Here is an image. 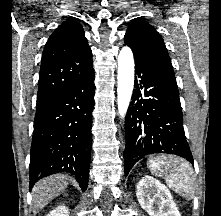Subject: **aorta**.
Listing matches in <instances>:
<instances>
[{
    "instance_id": "762f6f07",
    "label": "aorta",
    "mask_w": 221,
    "mask_h": 216,
    "mask_svg": "<svg viewBox=\"0 0 221 216\" xmlns=\"http://www.w3.org/2000/svg\"><path fill=\"white\" fill-rule=\"evenodd\" d=\"M117 105L121 118L124 119L134 87V58L129 47H123L118 55Z\"/></svg>"
}]
</instances>
